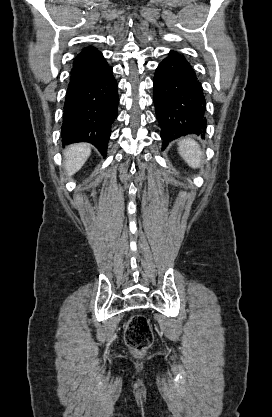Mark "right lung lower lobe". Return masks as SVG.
<instances>
[{"mask_svg":"<svg viewBox=\"0 0 272 417\" xmlns=\"http://www.w3.org/2000/svg\"><path fill=\"white\" fill-rule=\"evenodd\" d=\"M117 83L112 67L94 47L75 58L64 104L62 143L93 144L105 156L117 117Z\"/></svg>","mask_w":272,"mask_h":417,"instance_id":"obj_1","label":"right lung lower lobe"}]
</instances>
